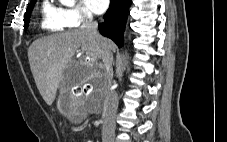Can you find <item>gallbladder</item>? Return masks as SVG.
Instances as JSON below:
<instances>
[{
    "instance_id": "bac80fb5",
    "label": "gallbladder",
    "mask_w": 227,
    "mask_h": 142,
    "mask_svg": "<svg viewBox=\"0 0 227 142\" xmlns=\"http://www.w3.org/2000/svg\"><path fill=\"white\" fill-rule=\"evenodd\" d=\"M61 99L58 100L57 106L59 110L64 111L65 113H72L73 112V93H61Z\"/></svg>"
}]
</instances>
